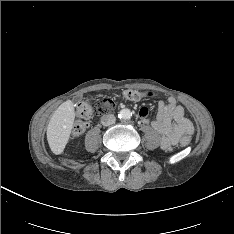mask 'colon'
Instances as JSON below:
<instances>
[{
    "instance_id": "colon-1",
    "label": "colon",
    "mask_w": 234,
    "mask_h": 234,
    "mask_svg": "<svg viewBox=\"0 0 234 234\" xmlns=\"http://www.w3.org/2000/svg\"><path fill=\"white\" fill-rule=\"evenodd\" d=\"M129 98H144L148 94L137 90H126L123 92V97ZM115 109V103L111 99H102L94 104L90 101L80 102L77 106V116L80 120L75 124L73 129V136L78 137L82 135L88 128L87 120L93 116L105 115ZM190 137L184 136L181 140L182 146L190 144Z\"/></svg>"
}]
</instances>
